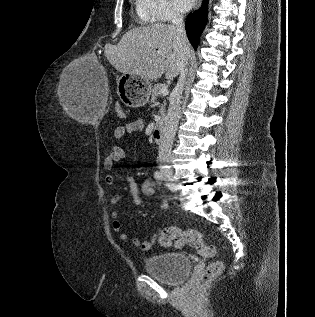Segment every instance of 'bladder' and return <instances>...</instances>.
<instances>
[{
  "mask_svg": "<svg viewBox=\"0 0 315 317\" xmlns=\"http://www.w3.org/2000/svg\"><path fill=\"white\" fill-rule=\"evenodd\" d=\"M146 272L169 284L182 282L190 273L191 262L181 253H164L151 256L144 262Z\"/></svg>",
  "mask_w": 315,
  "mask_h": 317,
  "instance_id": "31cf9c89",
  "label": "bladder"
}]
</instances>
